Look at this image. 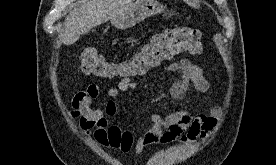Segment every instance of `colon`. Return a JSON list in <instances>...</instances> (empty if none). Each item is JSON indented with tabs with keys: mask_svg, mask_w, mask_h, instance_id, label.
Here are the masks:
<instances>
[{
	"mask_svg": "<svg viewBox=\"0 0 276 165\" xmlns=\"http://www.w3.org/2000/svg\"><path fill=\"white\" fill-rule=\"evenodd\" d=\"M202 48V35L198 29L171 28L152 36L127 63L116 64L94 49H85L80 55L79 68L84 74L105 78L144 75L176 54H200Z\"/></svg>",
	"mask_w": 276,
	"mask_h": 165,
	"instance_id": "colon-1",
	"label": "colon"
}]
</instances>
